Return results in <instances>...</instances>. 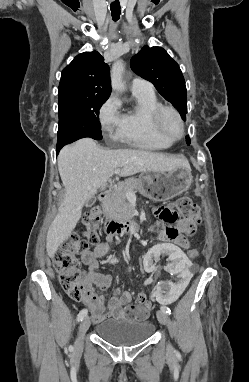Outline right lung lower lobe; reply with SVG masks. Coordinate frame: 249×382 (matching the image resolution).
Here are the masks:
<instances>
[{"label": "right lung lower lobe", "instance_id": "98d812e1", "mask_svg": "<svg viewBox=\"0 0 249 382\" xmlns=\"http://www.w3.org/2000/svg\"><path fill=\"white\" fill-rule=\"evenodd\" d=\"M63 146H57V150H56V155L59 153L60 149L62 148Z\"/></svg>", "mask_w": 249, "mask_h": 382}]
</instances>
